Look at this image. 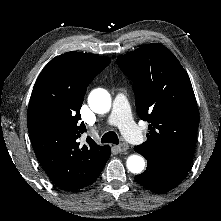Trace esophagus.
I'll return each instance as SVG.
<instances>
[{"mask_svg":"<svg viewBox=\"0 0 221 221\" xmlns=\"http://www.w3.org/2000/svg\"><path fill=\"white\" fill-rule=\"evenodd\" d=\"M128 148H129V146H128V144L125 143V142H123V143L120 144V145L115 146V149H116L118 152H120V153L127 151Z\"/></svg>","mask_w":221,"mask_h":221,"instance_id":"1","label":"esophagus"}]
</instances>
